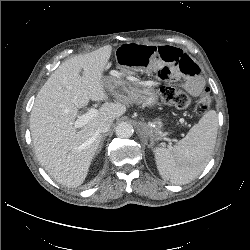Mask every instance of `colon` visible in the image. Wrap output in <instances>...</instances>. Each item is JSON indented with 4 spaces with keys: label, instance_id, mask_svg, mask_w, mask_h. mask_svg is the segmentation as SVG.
<instances>
[{
    "label": "colon",
    "instance_id": "1",
    "mask_svg": "<svg viewBox=\"0 0 250 250\" xmlns=\"http://www.w3.org/2000/svg\"><path fill=\"white\" fill-rule=\"evenodd\" d=\"M160 96L163 102L167 105L177 108H185L189 106L191 100L187 93L182 90L170 86L160 88ZM212 103V96L208 91H205L195 104V112L198 114L204 113Z\"/></svg>",
    "mask_w": 250,
    "mask_h": 250
}]
</instances>
